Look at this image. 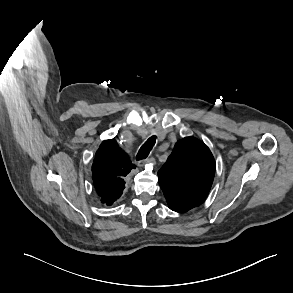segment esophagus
<instances>
[{
  "mask_svg": "<svg viewBox=\"0 0 293 293\" xmlns=\"http://www.w3.org/2000/svg\"><path fill=\"white\" fill-rule=\"evenodd\" d=\"M155 162V159L150 157V158H147L145 160H142L139 162V166L142 167L144 164H153Z\"/></svg>",
  "mask_w": 293,
  "mask_h": 293,
  "instance_id": "1",
  "label": "esophagus"
}]
</instances>
